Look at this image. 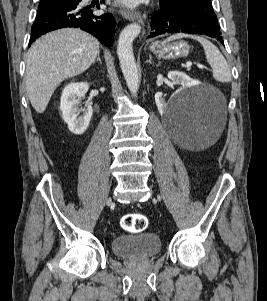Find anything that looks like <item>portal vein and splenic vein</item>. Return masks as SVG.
Masks as SVG:
<instances>
[{
    "label": "portal vein and splenic vein",
    "instance_id": "portal-vein-and-splenic-vein-1",
    "mask_svg": "<svg viewBox=\"0 0 267 301\" xmlns=\"http://www.w3.org/2000/svg\"><path fill=\"white\" fill-rule=\"evenodd\" d=\"M186 66L189 68V67L192 66V63H191V62H187V63H186ZM197 67L200 68V69L205 68L202 64H197Z\"/></svg>",
    "mask_w": 267,
    "mask_h": 301
}]
</instances>
